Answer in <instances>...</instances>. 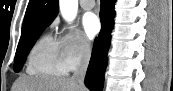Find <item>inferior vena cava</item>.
<instances>
[{
	"label": "inferior vena cava",
	"mask_w": 173,
	"mask_h": 91,
	"mask_svg": "<svg viewBox=\"0 0 173 91\" xmlns=\"http://www.w3.org/2000/svg\"><path fill=\"white\" fill-rule=\"evenodd\" d=\"M81 60L77 65L71 80L76 82L80 88H85L84 79L86 75V71L88 68L90 56H91V48L88 43H85L80 48Z\"/></svg>",
	"instance_id": "obj_1"
}]
</instances>
